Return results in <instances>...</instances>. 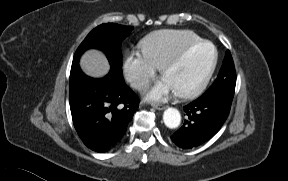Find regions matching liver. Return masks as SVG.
I'll list each match as a JSON object with an SVG mask.
<instances>
[{"label": "liver", "mask_w": 288, "mask_h": 181, "mask_svg": "<svg viewBox=\"0 0 288 181\" xmlns=\"http://www.w3.org/2000/svg\"><path fill=\"white\" fill-rule=\"evenodd\" d=\"M81 69L89 76L101 78L109 72V63L105 55L98 50L86 51L80 59Z\"/></svg>", "instance_id": "obj_1"}]
</instances>
